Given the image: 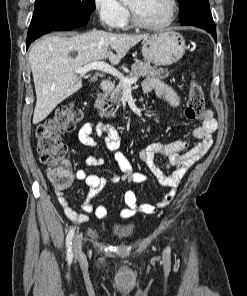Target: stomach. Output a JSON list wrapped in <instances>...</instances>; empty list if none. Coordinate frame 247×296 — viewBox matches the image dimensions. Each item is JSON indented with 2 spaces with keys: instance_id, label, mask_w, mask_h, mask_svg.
I'll return each mask as SVG.
<instances>
[{
  "instance_id": "0dacf381",
  "label": "stomach",
  "mask_w": 247,
  "mask_h": 296,
  "mask_svg": "<svg viewBox=\"0 0 247 296\" xmlns=\"http://www.w3.org/2000/svg\"><path fill=\"white\" fill-rule=\"evenodd\" d=\"M186 49L183 36L168 29L145 38L142 55L146 62L159 66H168L178 62Z\"/></svg>"
}]
</instances>
